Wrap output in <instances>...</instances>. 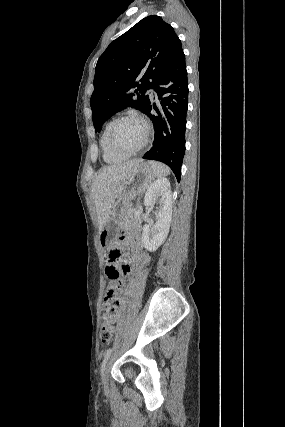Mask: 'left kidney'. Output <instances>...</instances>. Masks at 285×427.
I'll use <instances>...</instances> for the list:
<instances>
[{"label": "left kidney", "instance_id": "left-kidney-1", "mask_svg": "<svg viewBox=\"0 0 285 427\" xmlns=\"http://www.w3.org/2000/svg\"><path fill=\"white\" fill-rule=\"evenodd\" d=\"M157 198H160L157 221L154 225L145 224L142 232V243L150 252L156 251L169 233L172 218V193L167 178H160L150 185L145 194L144 205L153 208Z\"/></svg>", "mask_w": 285, "mask_h": 427}]
</instances>
